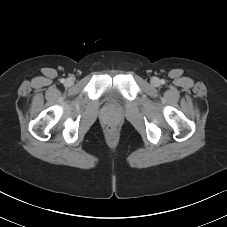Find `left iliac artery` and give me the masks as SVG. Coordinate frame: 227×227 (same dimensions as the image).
<instances>
[{
  "instance_id": "1",
  "label": "left iliac artery",
  "mask_w": 227,
  "mask_h": 227,
  "mask_svg": "<svg viewBox=\"0 0 227 227\" xmlns=\"http://www.w3.org/2000/svg\"><path fill=\"white\" fill-rule=\"evenodd\" d=\"M161 83L163 84V83H164V81H163V80H161Z\"/></svg>"
}]
</instances>
